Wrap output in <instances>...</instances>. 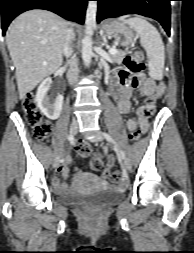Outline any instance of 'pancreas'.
I'll return each mask as SVG.
<instances>
[{
	"instance_id": "pancreas-1",
	"label": "pancreas",
	"mask_w": 194,
	"mask_h": 253,
	"mask_svg": "<svg viewBox=\"0 0 194 253\" xmlns=\"http://www.w3.org/2000/svg\"><path fill=\"white\" fill-rule=\"evenodd\" d=\"M125 56H126V52L124 51H118L117 54H110V58L115 63H122Z\"/></svg>"
}]
</instances>
